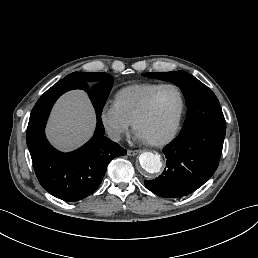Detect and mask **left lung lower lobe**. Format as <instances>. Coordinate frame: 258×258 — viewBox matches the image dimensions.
Masks as SVG:
<instances>
[{
  "label": "left lung lower lobe",
  "instance_id": "left-lung-lower-lobe-1",
  "mask_svg": "<svg viewBox=\"0 0 258 258\" xmlns=\"http://www.w3.org/2000/svg\"><path fill=\"white\" fill-rule=\"evenodd\" d=\"M225 130L207 126L178 136L163 149L166 169L156 179L145 180V186L166 198H180L197 190L218 167Z\"/></svg>",
  "mask_w": 258,
  "mask_h": 258
}]
</instances>
